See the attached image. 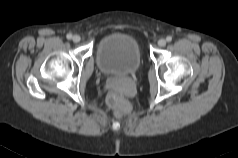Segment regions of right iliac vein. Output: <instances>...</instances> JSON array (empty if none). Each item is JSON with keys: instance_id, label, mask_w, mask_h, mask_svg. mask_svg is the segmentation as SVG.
<instances>
[{"instance_id": "obj_1", "label": "right iliac vein", "mask_w": 238, "mask_h": 158, "mask_svg": "<svg viewBox=\"0 0 238 158\" xmlns=\"http://www.w3.org/2000/svg\"><path fill=\"white\" fill-rule=\"evenodd\" d=\"M72 40H73V42L78 43V42H80L81 38H80L79 35H74V36L72 37Z\"/></svg>"}]
</instances>
